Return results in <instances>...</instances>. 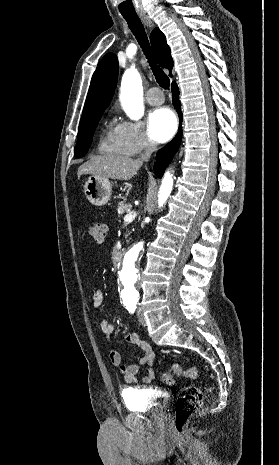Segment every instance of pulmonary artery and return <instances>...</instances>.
Instances as JSON below:
<instances>
[{
    "label": "pulmonary artery",
    "instance_id": "pulmonary-artery-1",
    "mask_svg": "<svg viewBox=\"0 0 279 465\" xmlns=\"http://www.w3.org/2000/svg\"><path fill=\"white\" fill-rule=\"evenodd\" d=\"M146 100L151 105H160L164 102V96L158 88L153 87L148 90Z\"/></svg>",
    "mask_w": 279,
    "mask_h": 465
}]
</instances>
